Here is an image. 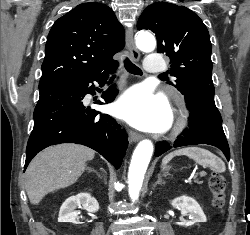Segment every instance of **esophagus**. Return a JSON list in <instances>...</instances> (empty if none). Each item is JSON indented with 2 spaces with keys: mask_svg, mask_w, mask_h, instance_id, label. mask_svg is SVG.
I'll return each mask as SVG.
<instances>
[{
  "mask_svg": "<svg viewBox=\"0 0 250 235\" xmlns=\"http://www.w3.org/2000/svg\"><path fill=\"white\" fill-rule=\"evenodd\" d=\"M126 46L130 57L134 61H138L140 59V53L134 44L132 28H127L126 30ZM128 134L132 142H137L142 138V135L134 130H129Z\"/></svg>",
  "mask_w": 250,
  "mask_h": 235,
  "instance_id": "1",
  "label": "esophagus"
}]
</instances>
